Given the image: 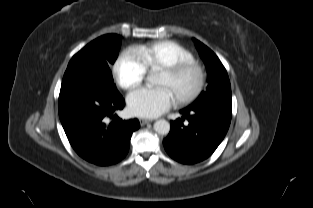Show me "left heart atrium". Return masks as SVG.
Returning a JSON list of instances; mask_svg holds the SVG:
<instances>
[{"mask_svg":"<svg viewBox=\"0 0 313 208\" xmlns=\"http://www.w3.org/2000/svg\"><path fill=\"white\" fill-rule=\"evenodd\" d=\"M127 102L134 115L152 118L168 110L174 102V97L165 86L141 87L128 95Z\"/></svg>","mask_w":313,"mask_h":208,"instance_id":"obj_1","label":"left heart atrium"}]
</instances>
